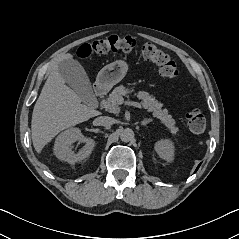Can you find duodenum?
I'll list each match as a JSON object with an SVG mask.
<instances>
[{
    "instance_id": "obj_1",
    "label": "duodenum",
    "mask_w": 239,
    "mask_h": 239,
    "mask_svg": "<svg viewBox=\"0 0 239 239\" xmlns=\"http://www.w3.org/2000/svg\"><path fill=\"white\" fill-rule=\"evenodd\" d=\"M105 92L106 88L102 84L96 85L94 87V95L97 98H101L105 94Z\"/></svg>"
}]
</instances>
